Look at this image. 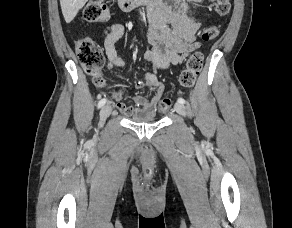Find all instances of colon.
<instances>
[{
	"instance_id": "obj_1",
	"label": "colon",
	"mask_w": 292,
	"mask_h": 228,
	"mask_svg": "<svg viewBox=\"0 0 292 228\" xmlns=\"http://www.w3.org/2000/svg\"><path fill=\"white\" fill-rule=\"evenodd\" d=\"M231 9L230 0H216L215 11L219 16H227ZM106 15V5L104 0H90L83 10V17L88 22H96ZM219 35L217 26H208L203 29L201 38L204 41L215 39ZM76 55L84 71L93 77V82L97 87L104 86L102 76V67L105 63V57L98 44L91 38H82L75 45ZM204 64L202 52L195 51L187 60L186 68L180 75L182 86L192 87ZM171 107V100L163 98L159 105L158 111L165 113Z\"/></svg>"
}]
</instances>
